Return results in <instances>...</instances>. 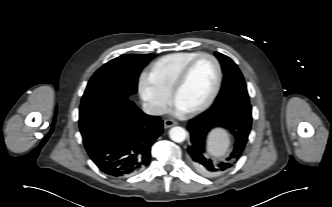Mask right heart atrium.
Segmentation results:
<instances>
[{"instance_id": "obj_1", "label": "right heart atrium", "mask_w": 332, "mask_h": 207, "mask_svg": "<svg viewBox=\"0 0 332 207\" xmlns=\"http://www.w3.org/2000/svg\"><path fill=\"white\" fill-rule=\"evenodd\" d=\"M139 91L152 113L160 115L166 111L170 103V94L155 86L145 75L140 78Z\"/></svg>"}]
</instances>
